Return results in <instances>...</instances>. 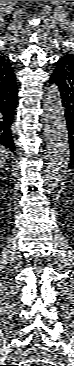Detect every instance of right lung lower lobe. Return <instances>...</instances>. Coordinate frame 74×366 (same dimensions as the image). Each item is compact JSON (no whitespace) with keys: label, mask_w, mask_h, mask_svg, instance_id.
<instances>
[{"label":"right lung lower lobe","mask_w":74,"mask_h":366,"mask_svg":"<svg viewBox=\"0 0 74 366\" xmlns=\"http://www.w3.org/2000/svg\"><path fill=\"white\" fill-rule=\"evenodd\" d=\"M15 74L11 81L0 83V146L15 151L11 125L17 105V85Z\"/></svg>","instance_id":"98d812e1"}]
</instances>
